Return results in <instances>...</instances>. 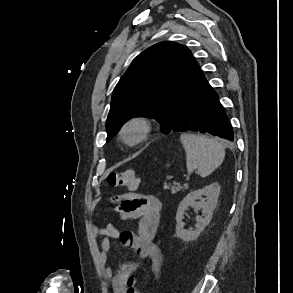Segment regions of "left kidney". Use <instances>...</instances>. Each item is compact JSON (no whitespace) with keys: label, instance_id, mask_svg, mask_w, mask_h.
<instances>
[{"label":"left kidney","instance_id":"5707ae66","mask_svg":"<svg viewBox=\"0 0 293 293\" xmlns=\"http://www.w3.org/2000/svg\"><path fill=\"white\" fill-rule=\"evenodd\" d=\"M220 194V185L212 183L202 189L188 193L180 202L176 213V235L183 241L189 242L195 240L205 227L210 223L213 211L216 208ZM205 196L206 198H203ZM200 200V201H197ZM201 210L204 217H196V228H184V214L189 207Z\"/></svg>","mask_w":293,"mask_h":293}]
</instances>
